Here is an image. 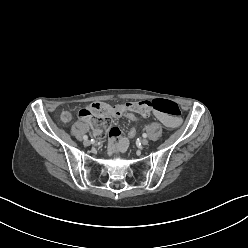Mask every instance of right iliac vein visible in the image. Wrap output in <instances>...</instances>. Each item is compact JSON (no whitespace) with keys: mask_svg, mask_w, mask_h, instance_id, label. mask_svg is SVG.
Returning a JSON list of instances; mask_svg holds the SVG:
<instances>
[{"mask_svg":"<svg viewBox=\"0 0 248 248\" xmlns=\"http://www.w3.org/2000/svg\"><path fill=\"white\" fill-rule=\"evenodd\" d=\"M83 144H84L85 146H89V145H90V141H89V140H84Z\"/></svg>","mask_w":248,"mask_h":248,"instance_id":"1","label":"right iliac vein"}]
</instances>
